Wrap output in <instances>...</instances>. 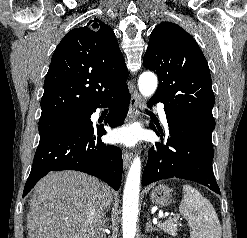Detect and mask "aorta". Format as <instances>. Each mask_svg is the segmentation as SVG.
I'll use <instances>...</instances> for the list:
<instances>
[{
	"mask_svg": "<svg viewBox=\"0 0 247 238\" xmlns=\"http://www.w3.org/2000/svg\"><path fill=\"white\" fill-rule=\"evenodd\" d=\"M157 77L152 72H144L138 80L139 91L150 97L157 89ZM141 161L136 156L128 171L123 195L122 231L123 238H135L140 191Z\"/></svg>",
	"mask_w": 247,
	"mask_h": 238,
	"instance_id": "obj_1",
	"label": "aorta"
}]
</instances>
